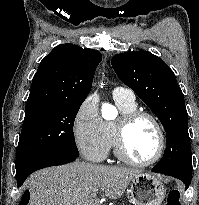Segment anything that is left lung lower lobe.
I'll return each instance as SVG.
<instances>
[{
	"instance_id": "obj_1",
	"label": "left lung lower lobe",
	"mask_w": 199,
	"mask_h": 205,
	"mask_svg": "<svg viewBox=\"0 0 199 205\" xmlns=\"http://www.w3.org/2000/svg\"><path fill=\"white\" fill-rule=\"evenodd\" d=\"M153 172L156 173H161V174H165V175H170L173 176L175 178L180 179L186 186V189L189 187L190 183H191V178L190 177H186L180 173L177 172H173V171H160V170H155L154 168L152 169Z\"/></svg>"
}]
</instances>
